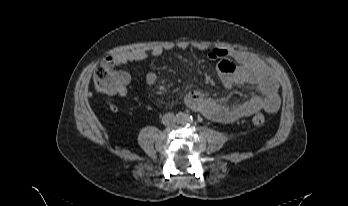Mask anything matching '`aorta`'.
<instances>
[{"instance_id": "1", "label": "aorta", "mask_w": 348, "mask_h": 206, "mask_svg": "<svg viewBox=\"0 0 348 206\" xmlns=\"http://www.w3.org/2000/svg\"><path fill=\"white\" fill-rule=\"evenodd\" d=\"M188 119H189V117H188L187 115L184 114V115L182 116V120H183V121H188Z\"/></svg>"}]
</instances>
